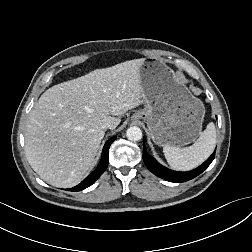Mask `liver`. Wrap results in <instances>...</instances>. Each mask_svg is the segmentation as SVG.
Instances as JSON below:
<instances>
[{"instance_id":"1","label":"liver","mask_w":252,"mask_h":252,"mask_svg":"<svg viewBox=\"0 0 252 252\" xmlns=\"http://www.w3.org/2000/svg\"><path fill=\"white\" fill-rule=\"evenodd\" d=\"M144 59L96 69L47 89L29 114L25 153L45 182L60 188L77 185L91 168L109 121L142 101L139 68Z\"/></svg>"}]
</instances>
